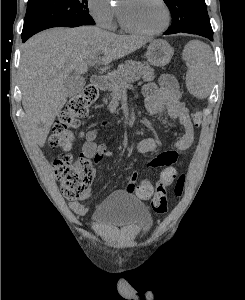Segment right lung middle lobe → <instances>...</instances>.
<instances>
[{
	"instance_id": "right-lung-middle-lobe-1",
	"label": "right lung middle lobe",
	"mask_w": 245,
	"mask_h": 300,
	"mask_svg": "<svg viewBox=\"0 0 245 300\" xmlns=\"http://www.w3.org/2000/svg\"><path fill=\"white\" fill-rule=\"evenodd\" d=\"M94 25L86 0H29L22 37L51 27Z\"/></svg>"
}]
</instances>
